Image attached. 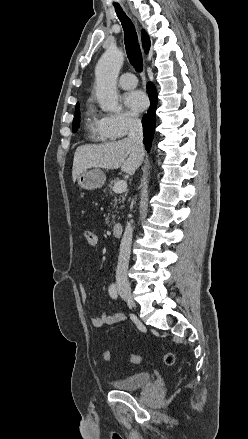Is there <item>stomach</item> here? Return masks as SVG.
Listing matches in <instances>:
<instances>
[{
    "label": "stomach",
    "mask_w": 248,
    "mask_h": 439,
    "mask_svg": "<svg viewBox=\"0 0 248 439\" xmlns=\"http://www.w3.org/2000/svg\"><path fill=\"white\" fill-rule=\"evenodd\" d=\"M106 181V175L102 170L94 169L85 171L77 177L78 185L86 190L101 188Z\"/></svg>",
    "instance_id": "obj_1"
}]
</instances>
